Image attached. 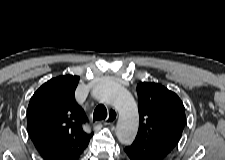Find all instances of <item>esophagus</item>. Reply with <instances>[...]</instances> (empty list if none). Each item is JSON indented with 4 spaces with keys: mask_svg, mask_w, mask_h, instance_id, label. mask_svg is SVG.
<instances>
[{
    "mask_svg": "<svg viewBox=\"0 0 225 160\" xmlns=\"http://www.w3.org/2000/svg\"><path fill=\"white\" fill-rule=\"evenodd\" d=\"M118 118V113L116 110L114 109H111L110 110V114L107 118V121L104 123L105 125H109V126H112L115 124L116 120Z\"/></svg>",
    "mask_w": 225,
    "mask_h": 160,
    "instance_id": "34e87169",
    "label": "esophagus"
}]
</instances>
